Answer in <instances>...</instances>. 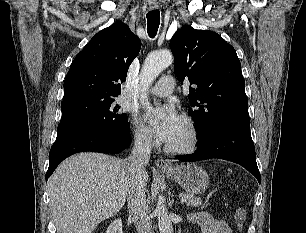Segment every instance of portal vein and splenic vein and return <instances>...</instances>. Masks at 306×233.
I'll return each mask as SVG.
<instances>
[{
	"instance_id": "1",
	"label": "portal vein and splenic vein",
	"mask_w": 306,
	"mask_h": 233,
	"mask_svg": "<svg viewBox=\"0 0 306 233\" xmlns=\"http://www.w3.org/2000/svg\"><path fill=\"white\" fill-rule=\"evenodd\" d=\"M182 203L185 202V198L181 197V200H180Z\"/></svg>"
}]
</instances>
